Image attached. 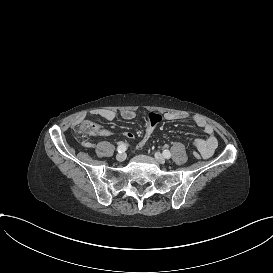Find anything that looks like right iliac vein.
Listing matches in <instances>:
<instances>
[{
  "label": "right iliac vein",
  "mask_w": 273,
  "mask_h": 273,
  "mask_svg": "<svg viewBox=\"0 0 273 273\" xmlns=\"http://www.w3.org/2000/svg\"><path fill=\"white\" fill-rule=\"evenodd\" d=\"M116 159L119 162H123L126 159V154L125 153H119L116 155Z\"/></svg>",
  "instance_id": "obj_1"
}]
</instances>
